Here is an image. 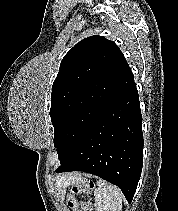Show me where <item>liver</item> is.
<instances>
[{
  "mask_svg": "<svg viewBox=\"0 0 178 211\" xmlns=\"http://www.w3.org/2000/svg\"><path fill=\"white\" fill-rule=\"evenodd\" d=\"M76 176L72 175H65L57 180V188L60 190L61 188H65L66 186L70 185L74 182Z\"/></svg>",
  "mask_w": 178,
  "mask_h": 211,
  "instance_id": "6515ba94",
  "label": "liver"
}]
</instances>
